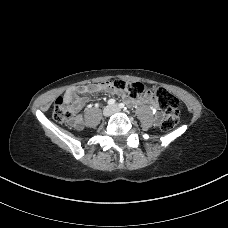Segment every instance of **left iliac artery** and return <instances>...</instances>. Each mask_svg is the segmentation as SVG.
Returning a JSON list of instances; mask_svg holds the SVG:
<instances>
[{"mask_svg": "<svg viewBox=\"0 0 228 228\" xmlns=\"http://www.w3.org/2000/svg\"><path fill=\"white\" fill-rule=\"evenodd\" d=\"M119 107H120V108H122V109H123V108H124V109H126V107H125V104H124V103H120V104H119Z\"/></svg>", "mask_w": 228, "mask_h": 228, "instance_id": "left-iliac-artery-1", "label": "left iliac artery"}]
</instances>
